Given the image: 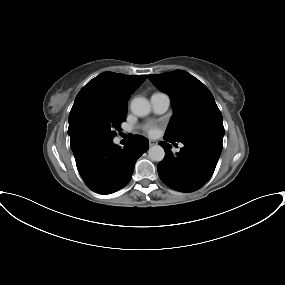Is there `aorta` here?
Instances as JSON below:
<instances>
[{
	"label": "aorta",
	"instance_id": "aorta-1",
	"mask_svg": "<svg viewBox=\"0 0 285 285\" xmlns=\"http://www.w3.org/2000/svg\"><path fill=\"white\" fill-rule=\"evenodd\" d=\"M130 108L133 114L140 117L148 115L151 111V105L144 97L134 98ZM148 156L152 161L160 162L164 159L165 151L160 145H155L149 148Z\"/></svg>",
	"mask_w": 285,
	"mask_h": 285
}]
</instances>
